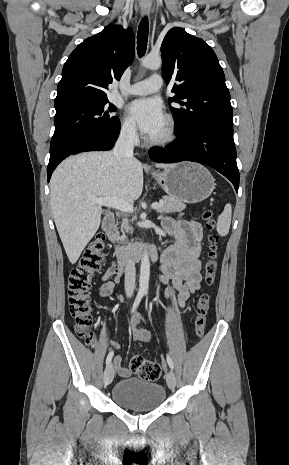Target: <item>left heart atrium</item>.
<instances>
[{
    "label": "left heart atrium",
    "instance_id": "left-heart-atrium-1",
    "mask_svg": "<svg viewBox=\"0 0 289 465\" xmlns=\"http://www.w3.org/2000/svg\"><path fill=\"white\" fill-rule=\"evenodd\" d=\"M129 112L140 130L150 138L159 135L165 126L166 120L162 105L154 98L133 101Z\"/></svg>",
    "mask_w": 289,
    "mask_h": 465
}]
</instances>
